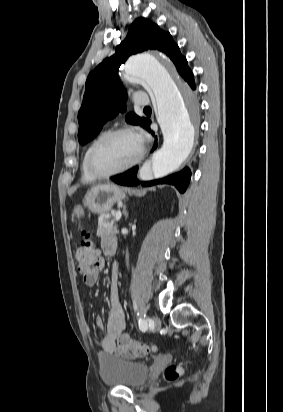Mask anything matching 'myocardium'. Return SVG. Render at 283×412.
<instances>
[{
    "instance_id": "myocardium-1",
    "label": "myocardium",
    "mask_w": 283,
    "mask_h": 412,
    "mask_svg": "<svg viewBox=\"0 0 283 412\" xmlns=\"http://www.w3.org/2000/svg\"><path fill=\"white\" fill-rule=\"evenodd\" d=\"M120 134H132L135 135V132L133 129L129 128V127H120V128H116V129H112L106 133H104L103 135H101L90 147L88 154H87V168L89 170V172L91 173V175L94 178H98V179H105V178H109L112 177L114 175H117L119 173H122L124 171H127L129 169H131L132 167H134L135 165H137L143 158L144 156V147L142 144H140V149L139 152L137 154V156L127 165L118 168L116 170L110 171V172H99L93 164V158L94 155L96 153V151L108 140H110L111 138L120 135ZM136 136V135H135Z\"/></svg>"
}]
</instances>
